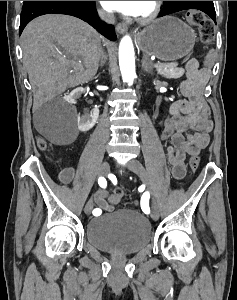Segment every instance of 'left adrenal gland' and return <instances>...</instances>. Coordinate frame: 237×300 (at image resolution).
Here are the masks:
<instances>
[{
  "mask_svg": "<svg viewBox=\"0 0 237 300\" xmlns=\"http://www.w3.org/2000/svg\"><path fill=\"white\" fill-rule=\"evenodd\" d=\"M142 69L143 71H146V73H150V71H152V63H150L148 57H146V55H144L142 61Z\"/></svg>",
  "mask_w": 237,
  "mask_h": 300,
  "instance_id": "obj_1",
  "label": "left adrenal gland"
}]
</instances>
